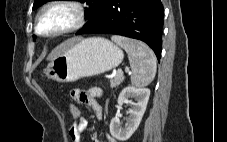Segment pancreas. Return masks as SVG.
Here are the masks:
<instances>
[{"mask_svg": "<svg viewBox=\"0 0 227 142\" xmlns=\"http://www.w3.org/2000/svg\"><path fill=\"white\" fill-rule=\"evenodd\" d=\"M124 80L123 74H117L114 78L110 79L111 87L119 86Z\"/></svg>", "mask_w": 227, "mask_h": 142, "instance_id": "1", "label": "pancreas"}]
</instances>
